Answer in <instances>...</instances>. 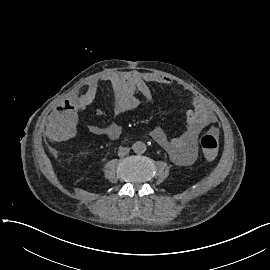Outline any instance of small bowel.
I'll list each match as a JSON object with an SVG mask.
<instances>
[{
  "mask_svg": "<svg viewBox=\"0 0 270 270\" xmlns=\"http://www.w3.org/2000/svg\"><path fill=\"white\" fill-rule=\"evenodd\" d=\"M101 82L109 83L112 87L113 111L117 118L106 126H91L89 132L94 136H102L109 140H117L122 134L119 118L124 114L150 102L152 93L149 84L171 85L170 78L157 73L139 71H118L108 73L100 79L88 83L86 90L73 101L61 102L56 107V114L50 115L44 122V131L56 140L70 139L80 129L77 112L86 108L95 98ZM140 96H136V93ZM217 119L208 106L199 98H193L192 106L186 111V127L184 131L169 138L163 129L155 128L151 132L153 140L159 144L176 164L192 163L198 153L197 138L206 127L217 131Z\"/></svg>",
  "mask_w": 270,
  "mask_h": 270,
  "instance_id": "small-bowel-1",
  "label": "small bowel"
}]
</instances>
